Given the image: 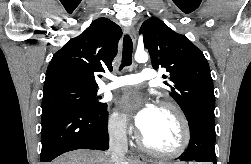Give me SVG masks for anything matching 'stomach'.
I'll use <instances>...</instances> for the list:
<instances>
[{"instance_id": "stomach-1", "label": "stomach", "mask_w": 251, "mask_h": 164, "mask_svg": "<svg viewBox=\"0 0 251 164\" xmlns=\"http://www.w3.org/2000/svg\"><path fill=\"white\" fill-rule=\"evenodd\" d=\"M155 164H170V163L158 162V163H155ZM175 164H177V163H175Z\"/></svg>"}]
</instances>
